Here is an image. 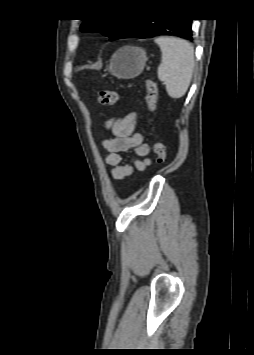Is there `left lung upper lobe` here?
<instances>
[{
  "instance_id": "obj_1",
  "label": "left lung upper lobe",
  "mask_w": 254,
  "mask_h": 355,
  "mask_svg": "<svg viewBox=\"0 0 254 355\" xmlns=\"http://www.w3.org/2000/svg\"><path fill=\"white\" fill-rule=\"evenodd\" d=\"M132 18L127 19H91L84 20L81 25L83 32H100L109 37V40H115L123 34L129 26Z\"/></svg>"
}]
</instances>
